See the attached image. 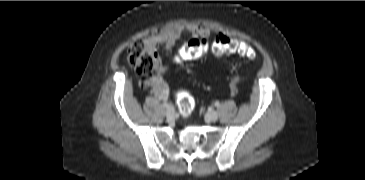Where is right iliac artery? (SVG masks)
<instances>
[{"label": "right iliac artery", "mask_w": 365, "mask_h": 180, "mask_svg": "<svg viewBox=\"0 0 365 180\" xmlns=\"http://www.w3.org/2000/svg\"><path fill=\"white\" fill-rule=\"evenodd\" d=\"M163 106H164V107H168V106H169V104L165 101V102L163 103Z\"/></svg>", "instance_id": "82829eb1"}]
</instances>
